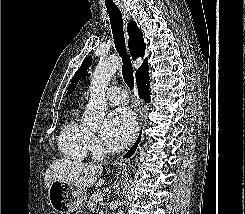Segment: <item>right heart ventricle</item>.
<instances>
[{
  "label": "right heart ventricle",
  "instance_id": "e07e8e85",
  "mask_svg": "<svg viewBox=\"0 0 245 214\" xmlns=\"http://www.w3.org/2000/svg\"><path fill=\"white\" fill-rule=\"evenodd\" d=\"M89 135L87 128L79 122L75 109L59 132L58 148L66 159L81 162L89 151Z\"/></svg>",
  "mask_w": 245,
  "mask_h": 214
}]
</instances>
